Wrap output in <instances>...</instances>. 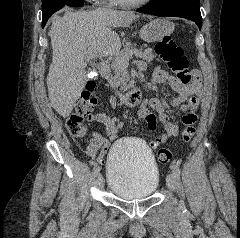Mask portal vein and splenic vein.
<instances>
[{
	"mask_svg": "<svg viewBox=\"0 0 240 238\" xmlns=\"http://www.w3.org/2000/svg\"><path fill=\"white\" fill-rule=\"evenodd\" d=\"M107 54H108V53H102L101 55L106 56ZM133 54H134L137 58H140V53H139V51H138L137 49H135V50L129 51L128 53H126V54L124 55V57H123L122 59H117V61L120 62V63H121V62H125V61L127 62V61L130 60V58L132 57ZM114 55H117V53L114 54ZM88 56L90 57V59H91V58H94V57L97 56V52L94 51V50H89Z\"/></svg>",
	"mask_w": 240,
	"mask_h": 238,
	"instance_id": "portal-vein-and-splenic-vein-1",
	"label": "portal vein and splenic vein"
}]
</instances>
